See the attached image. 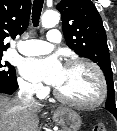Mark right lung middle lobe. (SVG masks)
<instances>
[{
	"mask_svg": "<svg viewBox=\"0 0 117 131\" xmlns=\"http://www.w3.org/2000/svg\"><path fill=\"white\" fill-rule=\"evenodd\" d=\"M2 52H0V85L9 89H17L15 68L7 61H2Z\"/></svg>",
	"mask_w": 117,
	"mask_h": 131,
	"instance_id": "1",
	"label": "right lung middle lobe"
}]
</instances>
